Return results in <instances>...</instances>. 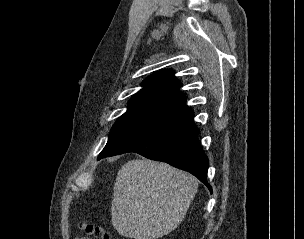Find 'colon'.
Masks as SVG:
<instances>
[{"mask_svg": "<svg viewBox=\"0 0 304 239\" xmlns=\"http://www.w3.org/2000/svg\"><path fill=\"white\" fill-rule=\"evenodd\" d=\"M81 229L90 237L95 239H111L109 233H107L101 226L97 224L84 222L81 224Z\"/></svg>", "mask_w": 304, "mask_h": 239, "instance_id": "1", "label": "colon"}]
</instances>
